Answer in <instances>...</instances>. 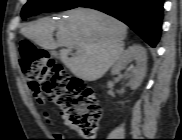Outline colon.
I'll return each mask as SVG.
<instances>
[{
	"label": "colon",
	"mask_w": 182,
	"mask_h": 140,
	"mask_svg": "<svg viewBox=\"0 0 182 140\" xmlns=\"http://www.w3.org/2000/svg\"><path fill=\"white\" fill-rule=\"evenodd\" d=\"M18 52L21 69L33 94L56 105L69 129L84 138H92L101 118L94 90L71 76L46 50L29 40L19 42Z\"/></svg>",
	"instance_id": "5ec220e1"
}]
</instances>
